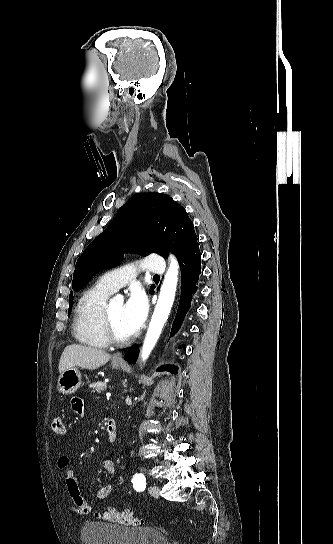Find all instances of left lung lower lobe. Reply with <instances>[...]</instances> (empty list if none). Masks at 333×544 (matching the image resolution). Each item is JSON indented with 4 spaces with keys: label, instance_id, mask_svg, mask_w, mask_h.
I'll list each match as a JSON object with an SVG mask.
<instances>
[{
    "label": "left lung lower lobe",
    "instance_id": "0a47b994",
    "mask_svg": "<svg viewBox=\"0 0 333 544\" xmlns=\"http://www.w3.org/2000/svg\"><path fill=\"white\" fill-rule=\"evenodd\" d=\"M182 279H181V297L179 301L178 311L172 325L171 334H175L190 308L191 301L198 292L199 275L201 273V254L199 248L196 247L188 253V255L179 262ZM152 292L151 294H153ZM139 349L137 346L132 347L124 356V359L129 363H135L138 357ZM178 367L172 365L162 366L158 371H169L177 374Z\"/></svg>",
    "mask_w": 333,
    "mask_h": 544
}]
</instances>
